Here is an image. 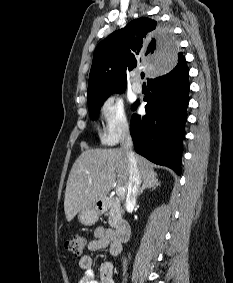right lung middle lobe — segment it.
<instances>
[{"label":"right lung middle lobe","instance_id":"dd1d6c3e","mask_svg":"<svg viewBox=\"0 0 233 283\" xmlns=\"http://www.w3.org/2000/svg\"><path fill=\"white\" fill-rule=\"evenodd\" d=\"M102 104H103V102H101L99 104H95V105L89 106V112H90V116H91L92 120L97 118L99 110H100Z\"/></svg>","mask_w":233,"mask_h":283}]
</instances>
